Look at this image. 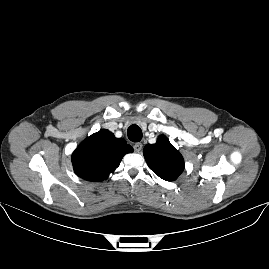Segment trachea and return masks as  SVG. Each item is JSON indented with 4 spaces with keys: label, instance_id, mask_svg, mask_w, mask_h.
Here are the masks:
<instances>
[{
    "label": "trachea",
    "instance_id": "3493384b",
    "mask_svg": "<svg viewBox=\"0 0 269 269\" xmlns=\"http://www.w3.org/2000/svg\"><path fill=\"white\" fill-rule=\"evenodd\" d=\"M128 138L132 142H139L142 139V130L138 125H131L128 128Z\"/></svg>",
    "mask_w": 269,
    "mask_h": 269
}]
</instances>
